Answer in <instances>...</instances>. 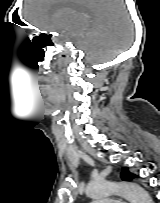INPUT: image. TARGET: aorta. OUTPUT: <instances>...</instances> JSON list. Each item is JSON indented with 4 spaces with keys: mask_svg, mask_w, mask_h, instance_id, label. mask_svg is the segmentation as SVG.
I'll return each mask as SVG.
<instances>
[{
    "mask_svg": "<svg viewBox=\"0 0 160 203\" xmlns=\"http://www.w3.org/2000/svg\"><path fill=\"white\" fill-rule=\"evenodd\" d=\"M86 194L91 198L108 197L119 194L130 203H153L149 193L141 186L130 182L93 181L86 187Z\"/></svg>",
    "mask_w": 160,
    "mask_h": 203,
    "instance_id": "1",
    "label": "aorta"
}]
</instances>
